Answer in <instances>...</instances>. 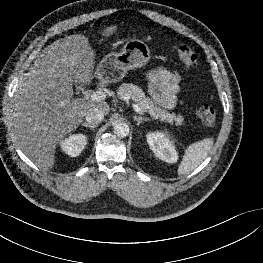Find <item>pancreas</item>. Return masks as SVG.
Listing matches in <instances>:
<instances>
[{"mask_svg":"<svg viewBox=\"0 0 263 263\" xmlns=\"http://www.w3.org/2000/svg\"><path fill=\"white\" fill-rule=\"evenodd\" d=\"M117 96L121 100H129L130 98L134 100L143 112L150 114L152 119L160 120L161 122H167L173 124L175 122L176 126L183 125V116L170 114L164 109L157 107L154 103L146 97L142 89L132 83H123L117 89Z\"/></svg>","mask_w":263,"mask_h":263,"instance_id":"pancreas-1","label":"pancreas"}]
</instances>
